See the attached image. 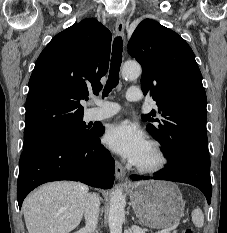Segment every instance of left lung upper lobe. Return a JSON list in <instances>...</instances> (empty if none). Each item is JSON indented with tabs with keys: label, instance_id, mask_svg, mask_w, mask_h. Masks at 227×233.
Masks as SVG:
<instances>
[{
	"label": "left lung upper lobe",
	"instance_id": "left-lung-upper-lobe-1",
	"mask_svg": "<svg viewBox=\"0 0 227 233\" xmlns=\"http://www.w3.org/2000/svg\"><path fill=\"white\" fill-rule=\"evenodd\" d=\"M129 54L142 66L141 88L158 106L143 116L171 165L191 156L210 165L206 93L194 53L176 32L151 19L135 29Z\"/></svg>",
	"mask_w": 227,
	"mask_h": 233
}]
</instances>
